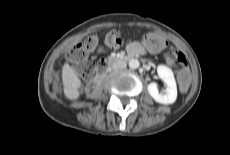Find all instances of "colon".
<instances>
[{
	"label": "colon",
	"instance_id": "obj_1",
	"mask_svg": "<svg viewBox=\"0 0 230 155\" xmlns=\"http://www.w3.org/2000/svg\"><path fill=\"white\" fill-rule=\"evenodd\" d=\"M149 43L163 47L165 45L164 39L157 34H149L145 38ZM104 43L107 47L117 49L122 45V36L118 30L109 31L104 38ZM98 44V39L95 36H90L78 43H76L68 52L67 58L74 63L76 71L83 77L89 78L95 72L94 63L87 60V54L93 51ZM172 56L179 64V78L177 82V89L185 91L189 84L190 70L187 66L185 55L178 49L172 50Z\"/></svg>",
	"mask_w": 230,
	"mask_h": 155
}]
</instances>
